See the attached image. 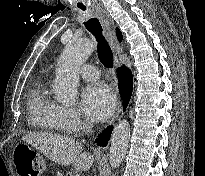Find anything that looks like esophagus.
<instances>
[{"mask_svg":"<svg viewBox=\"0 0 205 176\" xmlns=\"http://www.w3.org/2000/svg\"><path fill=\"white\" fill-rule=\"evenodd\" d=\"M96 15L99 17V19L101 20V22L105 28L108 42H109V44L113 50L114 56L116 58V66H118L119 65L118 57L120 55V45L116 39L114 23H113L112 19L110 18V16L108 15L107 11L103 8H98L96 10ZM121 110H122V101H121V99H119L116 111H115L114 115L112 116V118L109 122V125L113 124L119 118Z\"/></svg>","mask_w":205,"mask_h":176,"instance_id":"34e87169","label":"esophagus"}]
</instances>
